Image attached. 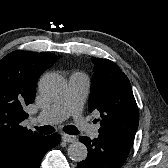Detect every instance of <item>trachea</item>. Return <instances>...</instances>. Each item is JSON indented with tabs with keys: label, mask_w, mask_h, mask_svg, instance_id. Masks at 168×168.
<instances>
[{
	"label": "trachea",
	"mask_w": 168,
	"mask_h": 168,
	"mask_svg": "<svg viewBox=\"0 0 168 168\" xmlns=\"http://www.w3.org/2000/svg\"><path fill=\"white\" fill-rule=\"evenodd\" d=\"M35 129L41 134H51L55 131V129L52 126L35 127ZM63 131L70 135L79 134L78 129L74 125L65 126L63 128Z\"/></svg>",
	"instance_id": "1"
}]
</instances>
